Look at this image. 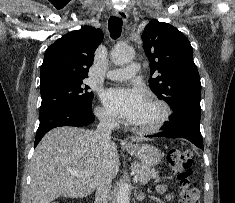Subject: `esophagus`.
Returning a JSON list of instances; mask_svg holds the SVG:
<instances>
[{
    "label": "esophagus",
    "instance_id": "1",
    "mask_svg": "<svg viewBox=\"0 0 235 203\" xmlns=\"http://www.w3.org/2000/svg\"><path fill=\"white\" fill-rule=\"evenodd\" d=\"M113 16L121 18L124 22H126L128 19V15L125 11L114 10Z\"/></svg>",
    "mask_w": 235,
    "mask_h": 203
}]
</instances>
